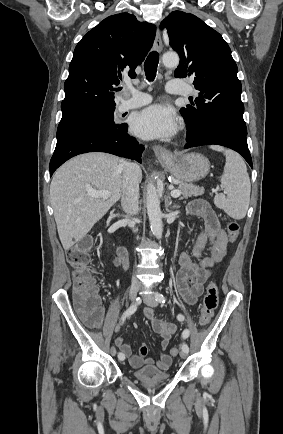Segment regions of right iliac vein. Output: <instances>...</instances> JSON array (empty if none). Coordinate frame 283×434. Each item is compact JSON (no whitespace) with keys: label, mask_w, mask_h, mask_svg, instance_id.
Listing matches in <instances>:
<instances>
[{"label":"right iliac vein","mask_w":283,"mask_h":434,"mask_svg":"<svg viewBox=\"0 0 283 434\" xmlns=\"http://www.w3.org/2000/svg\"><path fill=\"white\" fill-rule=\"evenodd\" d=\"M139 283L138 282H133L129 291V298L130 300L133 302L137 296L138 290H139ZM110 353L112 356H115L117 351L116 348L114 346L111 347L110 349Z\"/></svg>","instance_id":"1"}]
</instances>
